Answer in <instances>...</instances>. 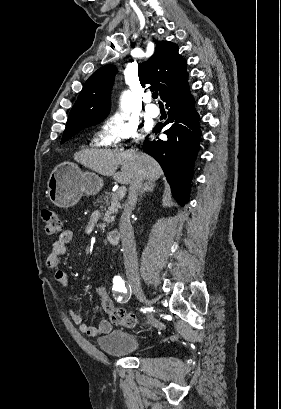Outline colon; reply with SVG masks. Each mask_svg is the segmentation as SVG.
Returning a JSON list of instances; mask_svg holds the SVG:
<instances>
[{
  "instance_id": "1",
  "label": "colon",
  "mask_w": 281,
  "mask_h": 409,
  "mask_svg": "<svg viewBox=\"0 0 281 409\" xmlns=\"http://www.w3.org/2000/svg\"><path fill=\"white\" fill-rule=\"evenodd\" d=\"M42 216L45 222L46 231L49 234L63 232V223L56 211L45 208L42 211ZM108 310L111 320L118 325H122L124 327H134L138 324L136 316L127 314L125 311L123 314L122 306H111L110 308H108Z\"/></svg>"
}]
</instances>
